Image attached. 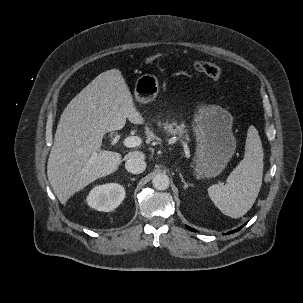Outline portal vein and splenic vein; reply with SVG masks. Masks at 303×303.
Here are the masks:
<instances>
[{
  "instance_id": "18ae733b",
  "label": "portal vein and splenic vein",
  "mask_w": 303,
  "mask_h": 303,
  "mask_svg": "<svg viewBox=\"0 0 303 303\" xmlns=\"http://www.w3.org/2000/svg\"><path fill=\"white\" fill-rule=\"evenodd\" d=\"M141 143H142L141 139L137 136H129L123 140V144L127 148H134L140 146ZM95 158H96V154H94L91 157L90 162H92Z\"/></svg>"
}]
</instances>
